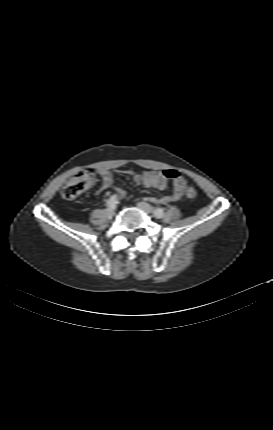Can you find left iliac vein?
Returning a JSON list of instances; mask_svg holds the SVG:
<instances>
[{
	"mask_svg": "<svg viewBox=\"0 0 273 430\" xmlns=\"http://www.w3.org/2000/svg\"><path fill=\"white\" fill-rule=\"evenodd\" d=\"M137 206H138L141 210H143L144 212H146L147 214H152V212H153L152 207H151L148 203H145V202H139V203H137ZM153 216H155V215H153ZM155 217H156V216H155Z\"/></svg>",
	"mask_w": 273,
	"mask_h": 430,
	"instance_id": "1",
	"label": "left iliac vein"
}]
</instances>
